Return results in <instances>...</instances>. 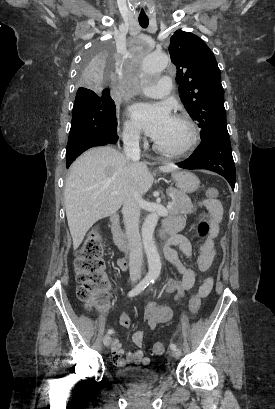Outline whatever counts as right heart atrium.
Listing matches in <instances>:
<instances>
[{
    "mask_svg": "<svg viewBox=\"0 0 275 409\" xmlns=\"http://www.w3.org/2000/svg\"><path fill=\"white\" fill-rule=\"evenodd\" d=\"M122 137L128 144H138L142 139V128L138 121L132 117H126L122 123Z\"/></svg>",
    "mask_w": 275,
    "mask_h": 409,
    "instance_id": "d8ad5b80",
    "label": "right heart atrium"
}]
</instances>
